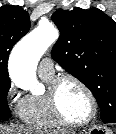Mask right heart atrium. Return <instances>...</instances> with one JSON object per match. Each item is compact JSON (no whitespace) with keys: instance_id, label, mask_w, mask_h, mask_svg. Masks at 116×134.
<instances>
[{"instance_id":"obj_1","label":"right heart atrium","mask_w":116,"mask_h":134,"mask_svg":"<svg viewBox=\"0 0 116 134\" xmlns=\"http://www.w3.org/2000/svg\"><path fill=\"white\" fill-rule=\"evenodd\" d=\"M6 97L11 107L20 114L26 104V96H23L18 91L14 83L9 84L6 91Z\"/></svg>"}]
</instances>
